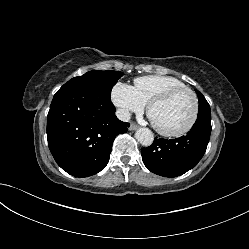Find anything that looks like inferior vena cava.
I'll use <instances>...</instances> for the list:
<instances>
[{
  "label": "inferior vena cava",
  "mask_w": 249,
  "mask_h": 249,
  "mask_svg": "<svg viewBox=\"0 0 249 249\" xmlns=\"http://www.w3.org/2000/svg\"><path fill=\"white\" fill-rule=\"evenodd\" d=\"M116 116L119 120L128 122L130 120V112L125 109H117Z\"/></svg>",
  "instance_id": "obj_1"
}]
</instances>
